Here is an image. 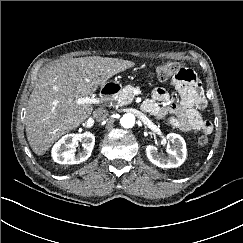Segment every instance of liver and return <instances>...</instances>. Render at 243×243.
<instances>
[{
  "label": "liver",
  "mask_w": 243,
  "mask_h": 243,
  "mask_svg": "<svg viewBox=\"0 0 243 243\" xmlns=\"http://www.w3.org/2000/svg\"><path fill=\"white\" fill-rule=\"evenodd\" d=\"M118 58L87 56L52 64L42 72L28 101L26 135L30 147L43 155L62 135L77 128L92 113L91 104L78 105L112 76L132 67Z\"/></svg>",
  "instance_id": "obj_1"
}]
</instances>
